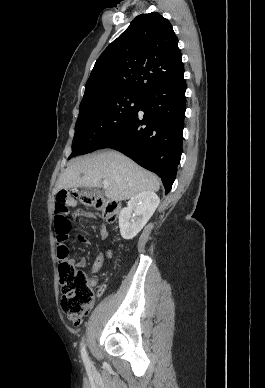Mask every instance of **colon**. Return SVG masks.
Wrapping results in <instances>:
<instances>
[{"label":"colon","mask_w":265,"mask_h":388,"mask_svg":"<svg viewBox=\"0 0 265 388\" xmlns=\"http://www.w3.org/2000/svg\"><path fill=\"white\" fill-rule=\"evenodd\" d=\"M70 194L61 190L56 194L54 222L57 242L61 306L68 319L79 322L91 306L94 294L86 274L69 262L67 240L72 228L69 219ZM81 202L101 214L107 222H114L121 210L119 202L103 196H82Z\"/></svg>","instance_id":"obj_1"}]
</instances>
